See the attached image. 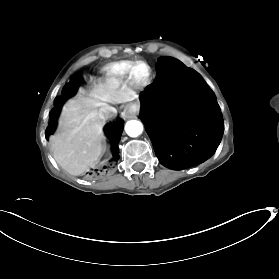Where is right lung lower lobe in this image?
I'll use <instances>...</instances> for the list:
<instances>
[{"mask_svg":"<svg viewBox=\"0 0 279 279\" xmlns=\"http://www.w3.org/2000/svg\"><path fill=\"white\" fill-rule=\"evenodd\" d=\"M80 82L73 81L69 84H66L62 90V95L55 98L54 101V108L52 109L50 113V119L51 123L47 127L46 130V137L48 138L51 134H53L55 129V121L58 117V114L60 112V109L64 102L71 97L77 90ZM123 130V125L121 123L115 122L113 123L109 128V138L114 144H117L120 140V136ZM117 151V147L115 148V152ZM119 158V155H115L113 160H116Z\"/></svg>","mask_w":279,"mask_h":279,"instance_id":"right-lung-lower-lobe-1","label":"right lung lower lobe"}]
</instances>
